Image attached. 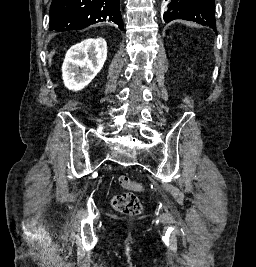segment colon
<instances>
[{
    "label": "colon",
    "mask_w": 256,
    "mask_h": 267,
    "mask_svg": "<svg viewBox=\"0 0 256 267\" xmlns=\"http://www.w3.org/2000/svg\"><path fill=\"white\" fill-rule=\"evenodd\" d=\"M119 183L127 189L140 190V185L134 183L128 175H121ZM143 192V191H136ZM124 195L113 197L111 200L112 207L122 215L135 216L142 211V205L134 193H124Z\"/></svg>",
    "instance_id": "obj_1"
}]
</instances>
